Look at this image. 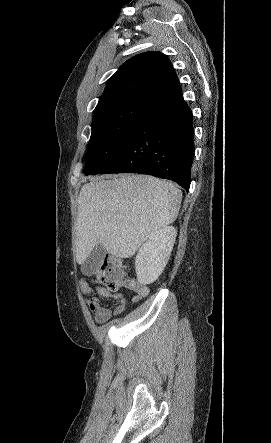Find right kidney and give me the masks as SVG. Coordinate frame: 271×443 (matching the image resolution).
<instances>
[{
  "label": "right kidney",
  "mask_w": 271,
  "mask_h": 443,
  "mask_svg": "<svg viewBox=\"0 0 271 443\" xmlns=\"http://www.w3.org/2000/svg\"><path fill=\"white\" fill-rule=\"evenodd\" d=\"M176 233L173 225H165L141 245L135 259L140 283H152L161 275L173 249Z\"/></svg>",
  "instance_id": "1"
}]
</instances>
